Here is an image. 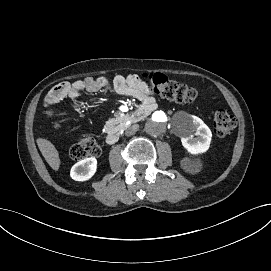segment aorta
Masks as SVG:
<instances>
[{"label": "aorta", "mask_w": 271, "mask_h": 271, "mask_svg": "<svg viewBox=\"0 0 271 271\" xmlns=\"http://www.w3.org/2000/svg\"><path fill=\"white\" fill-rule=\"evenodd\" d=\"M168 115L159 109L147 110L145 131L151 136H158L167 130Z\"/></svg>", "instance_id": "1"}]
</instances>
